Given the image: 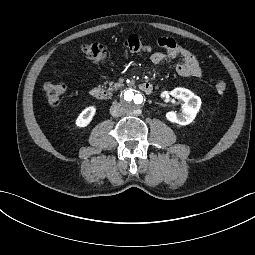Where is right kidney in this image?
I'll list each match as a JSON object with an SVG mask.
<instances>
[{"label":"right kidney","mask_w":255,"mask_h":255,"mask_svg":"<svg viewBox=\"0 0 255 255\" xmlns=\"http://www.w3.org/2000/svg\"><path fill=\"white\" fill-rule=\"evenodd\" d=\"M95 107L91 106L82 111V113L78 116L76 120V125L79 127L87 126L92 120L95 114Z\"/></svg>","instance_id":"1"}]
</instances>
